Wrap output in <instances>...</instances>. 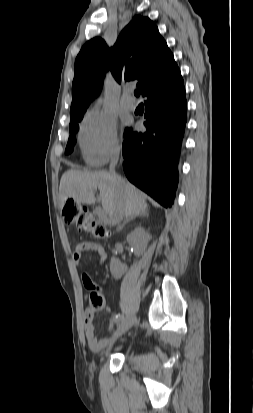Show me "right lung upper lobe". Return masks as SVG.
Wrapping results in <instances>:
<instances>
[{
    "label": "right lung upper lobe",
    "instance_id": "obj_1",
    "mask_svg": "<svg viewBox=\"0 0 253 413\" xmlns=\"http://www.w3.org/2000/svg\"><path fill=\"white\" fill-rule=\"evenodd\" d=\"M108 70L118 83L138 81L137 87L147 98L183 84L173 54L158 28L148 17L137 15L122 30L113 47L108 48L104 40L96 37L81 48L75 61L71 120L84 115L101 91Z\"/></svg>",
    "mask_w": 253,
    "mask_h": 413
}]
</instances>
